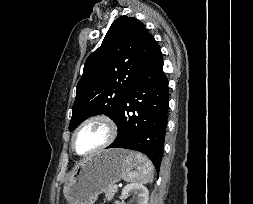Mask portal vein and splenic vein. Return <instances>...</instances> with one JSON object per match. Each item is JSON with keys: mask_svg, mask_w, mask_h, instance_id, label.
Here are the masks:
<instances>
[{"mask_svg": "<svg viewBox=\"0 0 253 204\" xmlns=\"http://www.w3.org/2000/svg\"><path fill=\"white\" fill-rule=\"evenodd\" d=\"M114 188H115V189H117V188H118V186H117V185H114Z\"/></svg>", "mask_w": 253, "mask_h": 204, "instance_id": "18ae733b", "label": "portal vein and splenic vein"}]
</instances>
